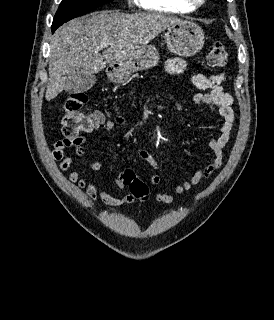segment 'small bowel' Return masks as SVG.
Here are the masks:
<instances>
[{
  "label": "small bowel",
  "mask_w": 274,
  "mask_h": 320,
  "mask_svg": "<svg viewBox=\"0 0 274 320\" xmlns=\"http://www.w3.org/2000/svg\"><path fill=\"white\" fill-rule=\"evenodd\" d=\"M185 69V61L179 57L169 58L166 62V72L169 74H181ZM226 79L224 72L206 76L201 73H193L191 75L192 84L200 89L206 90L205 93H196L193 96V102L197 105L213 104L219 109V113L223 120L219 125L220 135L209 141V146L213 153V158L209 164L194 172L189 180H183L173 187L171 192H159L156 194L155 199L159 203L169 204L174 201L176 196L191 190L194 186L198 185L202 180L207 178L213 172L219 170L223 165L224 148L228 144L235 122V114L232 108L233 98L223 88V82ZM92 128L90 131L112 132L115 128L125 126L127 120L125 117L118 115L113 119H92ZM87 143V138L84 136L75 137L73 139H62L54 143V149L51 153V158L54 161H59V168L61 171H66L72 164V157L67 155L65 150L74 147L75 154L78 157H84V145ZM139 157L146 161L149 166L155 171L159 170V164L152 157L150 153L145 150L138 149L136 151ZM87 165L91 171H99L102 168V163L94 157L87 160ZM69 181L76 184L80 189L84 190L89 201L95 205L103 203L111 208L118 207L123 204L132 203L134 199L131 195L115 196L100 188L94 181L81 177L79 172L72 171L68 177ZM150 184L158 185L161 182V177L154 174L149 179ZM115 185L119 189H123L125 185L116 180Z\"/></svg>",
  "instance_id": "1"
}]
</instances>
